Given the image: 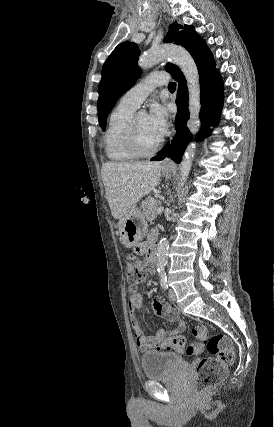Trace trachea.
<instances>
[{"label": "trachea", "instance_id": "obj_1", "mask_svg": "<svg viewBox=\"0 0 274 427\" xmlns=\"http://www.w3.org/2000/svg\"><path fill=\"white\" fill-rule=\"evenodd\" d=\"M168 89L170 90V92H174L176 90V83L175 82H170L168 84Z\"/></svg>", "mask_w": 274, "mask_h": 427}]
</instances>
